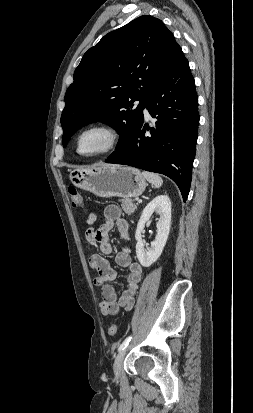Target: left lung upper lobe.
I'll use <instances>...</instances> for the list:
<instances>
[{
  "label": "left lung upper lobe",
  "mask_w": 253,
  "mask_h": 413,
  "mask_svg": "<svg viewBox=\"0 0 253 413\" xmlns=\"http://www.w3.org/2000/svg\"><path fill=\"white\" fill-rule=\"evenodd\" d=\"M179 48L163 22L148 15L105 35L84 54L66 91L61 116L63 146L79 128L102 121L120 134L112 155L125 149ZM137 100L140 103L134 109Z\"/></svg>",
  "instance_id": "1"
}]
</instances>
